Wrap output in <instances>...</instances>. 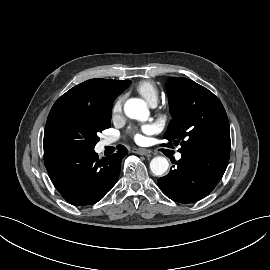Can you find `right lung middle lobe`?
<instances>
[{"mask_svg":"<svg viewBox=\"0 0 270 270\" xmlns=\"http://www.w3.org/2000/svg\"><path fill=\"white\" fill-rule=\"evenodd\" d=\"M111 111L64 109L48 116L44 154L88 152L99 141L98 133L110 127Z\"/></svg>","mask_w":270,"mask_h":270,"instance_id":"obj_1","label":"right lung middle lobe"}]
</instances>
